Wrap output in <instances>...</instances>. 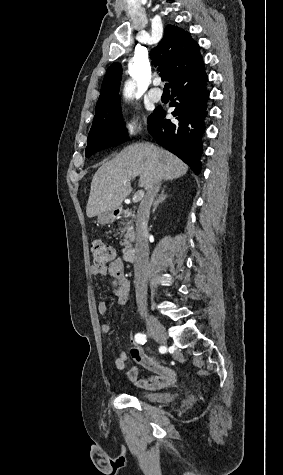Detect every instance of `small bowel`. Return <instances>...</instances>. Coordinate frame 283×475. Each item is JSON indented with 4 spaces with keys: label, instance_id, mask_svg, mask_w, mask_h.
Masks as SVG:
<instances>
[{
    "label": "small bowel",
    "instance_id": "c3829d8e",
    "mask_svg": "<svg viewBox=\"0 0 283 475\" xmlns=\"http://www.w3.org/2000/svg\"><path fill=\"white\" fill-rule=\"evenodd\" d=\"M89 274L93 277L109 275L113 280L112 294L119 305H125L130 298V281L124 274V265L121 259L115 258L110 263L100 265L96 262L89 266ZM97 312L100 316H105L108 312V305L101 301L97 305ZM103 333L110 331L108 323H102ZM129 354L134 361V365L127 371V379L137 387L147 389H161L173 385L177 376L175 371L148 356L144 348L134 343L130 352L122 350L115 358L114 365L118 370H124L129 358ZM144 368L151 372L150 375L139 378L140 369Z\"/></svg>",
    "mask_w": 283,
    "mask_h": 475
}]
</instances>
